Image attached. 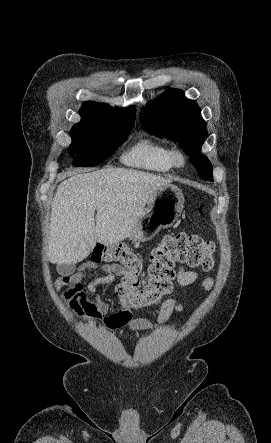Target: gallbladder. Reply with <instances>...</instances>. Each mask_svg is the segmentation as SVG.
Returning <instances> with one entry per match:
<instances>
[{"label": "gallbladder", "mask_w": 271, "mask_h": 443, "mask_svg": "<svg viewBox=\"0 0 271 443\" xmlns=\"http://www.w3.org/2000/svg\"><path fill=\"white\" fill-rule=\"evenodd\" d=\"M77 266V263L75 260H66L64 265H56V269L60 275H68V273H71L73 269H75Z\"/></svg>", "instance_id": "1"}]
</instances>
